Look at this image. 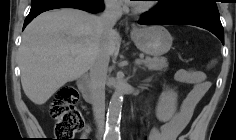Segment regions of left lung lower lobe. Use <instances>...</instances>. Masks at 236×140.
Wrapping results in <instances>:
<instances>
[{
	"mask_svg": "<svg viewBox=\"0 0 236 140\" xmlns=\"http://www.w3.org/2000/svg\"><path fill=\"white\" fill-rule=\"evenodd\" d=\"M138 22L143 25L198 26L212 32L224 44V30L219 15L189 11L163 13L161 9H156L151 12L144 13Z\"/></svg>",
	"mask_w": 236,
	"mask_h": 140,
	"instance_id": "0a47b994",
	"label": "left lung lower lobe"
}]
</instances>
